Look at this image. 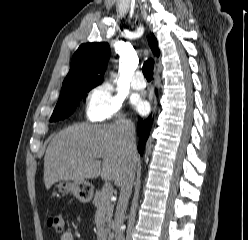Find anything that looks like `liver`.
<instances>
[{"mask_svg":"<svg viewBox=\"0 0 248 240\" xmlns=\"http://www.w3.org/2000/svg\"><path fill=\"white\" fill-rule=\"evenodd\" d=\"M129 159L136 165L137 152L128 151L120 124L72 125L57 133L47 147L45 187L48 190L58 181H84L99 176L119 186Z\"/></svg>","mask_w":248,"mask_h":240,"instance_id":"6515ba94","label":"liver"}]
</instances>
